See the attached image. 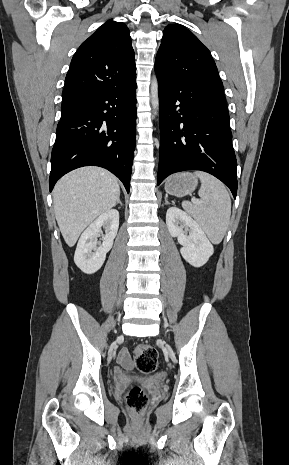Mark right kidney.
<instances>
[{
    "mask_svg": "<svg viewBox=\"0 0 289 465\" xmlns=\"http://www.w3.org/2000/svg\"><path fill=\"white\" fill-rule=\"evenodd\" d=\"M101 227L107 232L102 243L97 246V237ZM119 227V212L116 209L105 211L82 233L74 255L77 267L86 274L98 271L106 259V253L112 248Z\"/></svg>",
    "mask_w": 289,
    "mask_h": 465,
    "instance_id": "obj_1",
    "label": "right kidney"
}]
</instances>
